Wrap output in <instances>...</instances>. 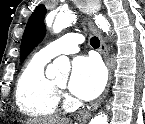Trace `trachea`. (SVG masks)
I'll use <instances>...</instances> for the list:
<instances>
[{
  "label": "trachea",
  "mask_w": 145,
  "mask_h": 124,
  "mask_svg": "<svg viewBox=\"0 0 145 124\" xmlns=\"http://www.w3.org/2000/svg\"><path fill=\"white\" fill-rule=\"evenodd\" d=\"M90 44L93 48H98L100 46V40L98 37L94 36L90 39Z\"/></svg>",
  "instance_id": "1"
}]
</instances>
